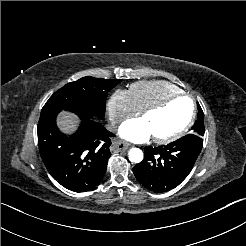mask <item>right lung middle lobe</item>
Returning <instances> with one entry per match:
<instances>
[{
  "instance_id": "obj_1",
  "label": "right lung middle lobe",
  "mask_w": 246,
  "mask_h": 246,
  "mask_svg": "<svg viewBox=\"0 0 246 246\" xmlns=\"http://www.w3.org/2000/svg\"><path fill=\"white\" fill-rule=\"evenodd\" d=\"M122 80L83 77L56 91L42 108L41 115L74 112L81 118H103L108 92Z\"/></svg>"
}]
</instances>
